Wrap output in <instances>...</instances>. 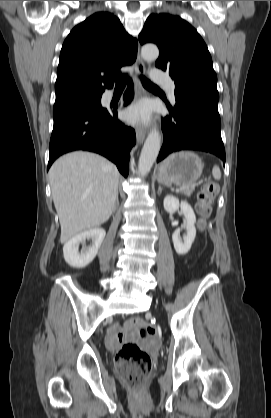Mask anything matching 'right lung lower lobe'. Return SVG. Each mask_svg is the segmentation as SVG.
Wrapping results in <instances>:
<instances>
[{
    "label": "right lung lower lobe",
    "instance_id": "1",
    "mask_svg": "<svg viewBox=\"0 0 271 418\" xmlns=\"http://www.w3.org/2000/svg\"><path fill=\"white\" fill-rule=\"evenodd\" d=\"M128 85L129 89L124 94L125 104L133 97L131 80ZM135 141L134 130L117 119V107L106 109L99 104L69 110L54 117L47 169L64 153L87 150L113 161L127 177L129 156L126 153Z\"/></svg>",
    "mask_w": 271,
    "mask_h": 418
}]
</instances>
